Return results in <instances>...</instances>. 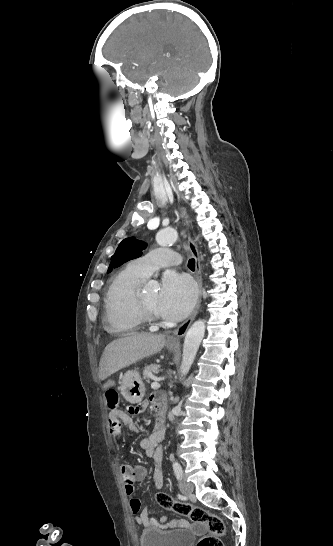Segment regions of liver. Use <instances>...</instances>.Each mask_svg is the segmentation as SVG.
I'll use <instances>...</instances> for the list:
<instances>
[{
  "label": "liver",
  "instance_id": "obj_1",
  "mask_svg": "<svg viewBox=\"0 0 333 546\" xmlns=\"http://www.w3.org/2000/svg\"><path fill=\"white\" fill-rule=\"evenodd\" d=\"M165 345L163 335L130 334L106 346L99 363V378L105 380L118 370L154 355Z\"/></svg>",
  "mask_w": 333,
  "mask_h": 546
}]
</instances>
